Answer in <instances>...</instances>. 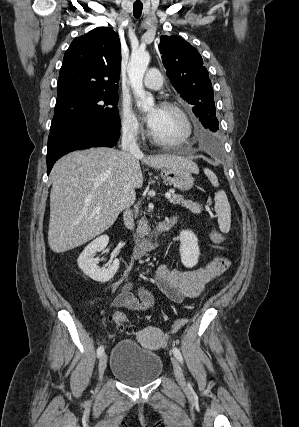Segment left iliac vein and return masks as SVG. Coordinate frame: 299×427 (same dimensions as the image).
<instances>
[{
    "label": "left iliac vein",
    "instance_id": "4c4485c4",
    "mask_svg": "<svg viewBox=\"0 0 299 427\" xmlns=\"http://www.w3.org/2000/svg\"><path fill=\"white\" fill-rule=\"evenodd\" d=\"M175 377L180 384L185 383L183 370L175 357L171 358Z\"/></svg>",
    "mask_w": 299,
    "mask_h": 427
}]
</instances>
